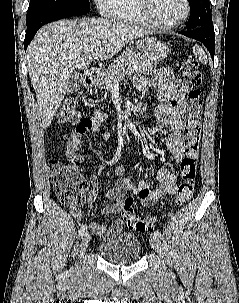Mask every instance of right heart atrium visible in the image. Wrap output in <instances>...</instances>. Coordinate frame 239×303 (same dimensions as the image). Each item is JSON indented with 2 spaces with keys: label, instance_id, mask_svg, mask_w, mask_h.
<instances>
[{
  "label": "right heart atrium",
  "instance_id": "1",
  "mask_svg": "<svg viewBox=\"0 0 239 303\" xmlns=\"http://www.w3.org/2000/svg\"><path fill=\"white\" fill-rule=\"evenodd\" d=\"M103 16L115 17L122 0H93Z\"/></svg>",
  "mask_w": 239,
  "mask_h": 303
}]
</instances>
